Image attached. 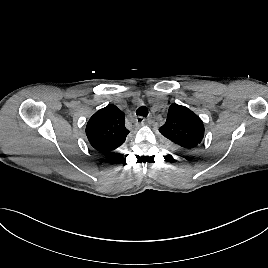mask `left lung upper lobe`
<instances>
[{"label":"left lung upper lobe","instance_id":"1","mask_svg":"<svg viewBox=\"0 0 268 268\" xmlns=\"http://www.w3.org/2000/svg\"><path fill=\"white\" fill-rule=\"evenodd\" d=\"M202 120L190 109L178 104L169 107L167 120L159 132L178 148L193 150L198 148L204 137Z\"/></svg>","mask_w":268,"mask_h":268}]
</instances>
